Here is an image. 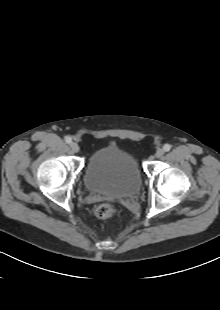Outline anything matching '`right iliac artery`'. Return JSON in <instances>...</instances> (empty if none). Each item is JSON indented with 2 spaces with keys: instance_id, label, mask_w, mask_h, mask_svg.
I'll use <instances>...</instances> for the list:
<instances>
[{
  "instance_id": "82829eb1",
  "label": "right iliac artery",
  "mask_w": 220,
  "mask_h": 310,
  "mask_svg": "<svg viewBox=\"0 0 220 310\" xmlns=\"http://www.w3.org/2000/svg\"><path fill=\"white\" fill-rule=\"evenodd\" d=\"M66 143L70 144L72 142V138L70 136L65 137Z\"/></svg>"
}]
</instances>
